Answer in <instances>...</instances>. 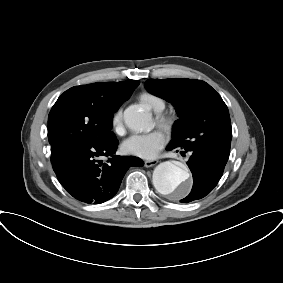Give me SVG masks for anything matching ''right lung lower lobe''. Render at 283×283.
I'll return each instance as SVG.
<instances>
[{"mask_svg": "<svg viewBox=\"0 0 283 283\" xmlns=\"http://www.w3.org/2000/svg\"><path fill=\"white\" fill-rule=\"evenodd\" d=\"M118 140L104 145L79 143L52 149L51 163L59 182L75 199L100 204L111 199L130 167L143 166L133 156H118ZM108 157L107 163L101 159Z\"/></svg>", "mask_w": 283, "mask_h": 283, "instance_id": "right-lung-lower-lobe-1", "label": "right lung lower lobe"}]
</instances>
